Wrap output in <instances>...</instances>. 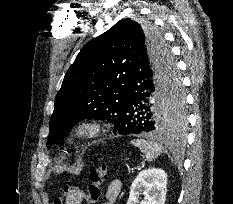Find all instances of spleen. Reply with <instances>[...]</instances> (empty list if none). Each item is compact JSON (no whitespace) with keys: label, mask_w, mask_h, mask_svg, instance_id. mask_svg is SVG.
Wrapping results in <instances>:
<instances>
[{"label":"spleen","mask_w":233,"mask_h":204,"mask_svg":"<svg viewBox=\"0 0 233 204\" xmlns=\"http://www.w3.org/2000/svg\"><path fill=\"white\" fill-rule=\"evenodd\" d=\"M131 143L138 147L140 151L146 156V159L150 162L154 161L158 156H160L164 151V147L159 145L156 142L144 140V139H135L132 140ZM171 147H174L172 144ZM171 151L176 155L177 150L171 149Z\"/></svg>","instance_id":"1"}]
</instances>
